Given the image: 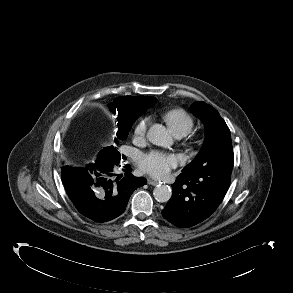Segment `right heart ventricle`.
<instances>
[{
	"instance_id": "1",
	"label": "right heart ventricle",
	"mask_w": 293,
	"mask_h": 293,
	"mask_svg": "<svg viewBox=\"0 0 293 293\" xmlns=\"http://www.w3.org/2000/svg\"><path fill=\"white\" fill-rule=\"evenodd\" d=\"M164 121L176 136H186L194 127V120L185 110L173 108L163 113Z\"/></svg>"
}]
</instances>
